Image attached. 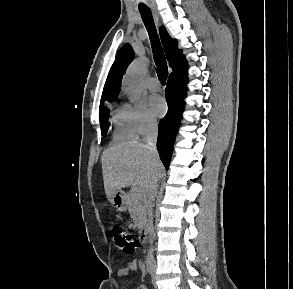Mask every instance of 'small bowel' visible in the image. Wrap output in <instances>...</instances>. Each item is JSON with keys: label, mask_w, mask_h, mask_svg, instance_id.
Here are the masks:
<instances>
[{"label": "small bowel", "mask_w": 293, "mask_h": 289, "mask_svg": "<svg viewBox=\"0 0 293 289\" xmlns=\"http://www.w3.org/2000/svg\"><path fill=\"white\" fill-rule=\"evenodd\" d=\"M138 264L136 262H129L126 268L120 269L118 272L119 277H126L130 272H133L137 269ZM141 289H145L142 287Z\"/></svg>", "instance_id": "c3829d8e"}]
</instances>
